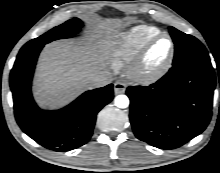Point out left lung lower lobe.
I'll return each instance as SVG.
<instances>
[{
  "mask_svg": "<svg viewBox=\"0 0 220 173\" xmlns=\"http://www.w3.org/2000/svg\"><path fill=\"white\" fill-rule=\"evenodd\" d=\"M215 83L210 60L193 59L173 65L150 87H128L135 136L165 150L198 136L211 118Z\"/></svg>",
  "mask_w": 220,
  "mask_h": 173,
  "instance_id": "0a47b994",
  "label": "left lung lower lobe"
}]
</instances>
